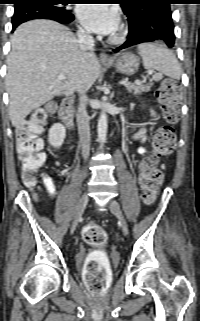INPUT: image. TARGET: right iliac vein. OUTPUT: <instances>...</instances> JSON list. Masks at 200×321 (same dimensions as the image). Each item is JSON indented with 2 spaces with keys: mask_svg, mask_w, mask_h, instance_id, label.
<instances>
[{
  "mask_svg": "<svg viewBox=\"0 0 200 321\" xmlns=\"http://www.w3.org/2000/svg\"><path fill=\"white\" fill-rule=\"evenodd\" d=\"M87 203H88V194H87V192H84L82 194V196L80 197L76 212L73 217V222H72V226H71L72 232L75 230V228L78 224V221L85 210Z\"/></svg>",
  "mask_w": 200,
  "mask_h": 321,
  "instance_id": "obj_1",
  "label": "right iliac vein"
}]
</instances>
